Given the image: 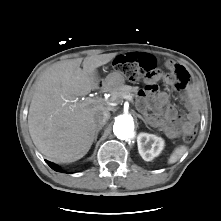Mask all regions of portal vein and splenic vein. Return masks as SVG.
Segmentation results:
<instances>
[{"label":"portal vein and splenic vein","mask_w":221,"mask_h":221,"mask_svg":"<svg viewBox=\"0 0 221 221\" xmlns=\"http://www.w3.org/2000/svg\"><path fill=\"white\" fill-rule=\"evenodd\" d=\"M123 98L128 100V101H130V102H132V97L131 96L126 95ZM99 102H101V101L100 100L91 99V98H88L86 100L87 104H95V103H99Z\"/></svg>","instance_id":"portal-vein-and-splenic-vein-1"}]
</instances>
